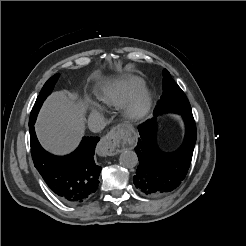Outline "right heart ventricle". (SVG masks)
<instances>
[{
  "instance_id": "e07e8e85",
  "label": "right heart ventricle",
  "mask_w": 246,
  "mask_h": 246,
  "mask_svg": "<svg viewBox=\"0 0 246 246\" xmlns=\"http://www.w3.org/2000/svg\"><path fill=\"white\" fill-rule=\"evenodd\" d=\"M145 87L143 79L129 76L109 81L97 91L99 102L107 107H120Z\"/></svg>"
}]
</instances>
